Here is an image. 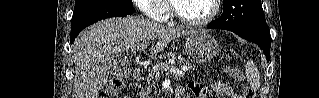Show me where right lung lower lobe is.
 I'll return each mask as SVG.
<instances>
[{
  "mask_svg": "<svg viewBox=\"0 0 319 98\" xmlns=\"http://www.w3.org/2000/svg\"><path fill=\"white\" fill-rule=\"evenodd\" d=\"M134 12V8L112 5L90 7L74 11L71 21L70 43L74 42L75 38L81 30L97 22L98 20L106 19L109 17L126 16Z\"/></svg>",
  "mask_w": 319,
  "mask_h": 98,
  "instance_id": "right-lung-lower-lobe-1",
  "label": "right lung lower lobe"
}]
</instances>
